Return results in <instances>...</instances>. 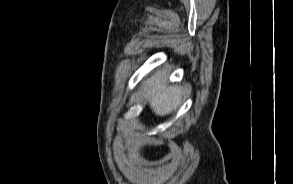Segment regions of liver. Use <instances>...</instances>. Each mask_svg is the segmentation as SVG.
<instances>
[{
    "label": "liver",
    "instance_id": "1",
    "mask_svg": "<svg viewBox=\"0 0 293 184\" xmlns=\"http://www.w3.org/2000/svg\"><path fill=\"white\" fill-rule=\"evenodd\" d=\"M168 71L162 69L143 82L142 96L158 116H165L181 105V88L166 84Z\"/></svg>",
    "mask_w": 293,
    "mask_h": 184
}]
</instances>
